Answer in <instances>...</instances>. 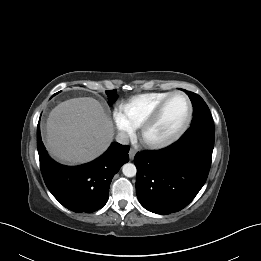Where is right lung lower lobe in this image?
Instances as JSON below:
<instances>
[{"instance_id": "98d812e1", "label": "right lung lower lobe", "mask_w": 261, "mask_h": 261, "mask_svg": "<svg viewBox=\"0 0 261 261\" xmlns=\"http://www.w3.org/2000/svg\"><path fill=\"white\" fill-rule=\"evenodd\" d=\"M37 149L42 176L52 195L71 211L91 213L106 204L112 178L128 162L130 147L114 142L103 155L90 163L61 165L47 154L38 123Z\"/></svg>"}]
</instances>
